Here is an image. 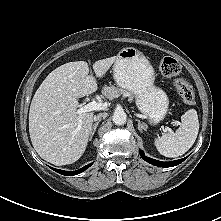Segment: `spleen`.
Returning <instances> with one entry per match:
<instances>
[{
  "label": "spleen",
  "mask_w": 221,
  "mask_h": 221,
  "mask_svg": "<svg viewBox=\"0 0 221 221\" xmlns=\"http://www.w3.org/2000/svg\"><path fill=\"white\" fill-rule=\"evenodd\" d=\"M199 131L197 111L190 109L181 116L180 127L155 139V146L165 157H178L186 153L194 144Z\"/></svg>",
  "instance_id": "obj_1"
}]
</instances>
